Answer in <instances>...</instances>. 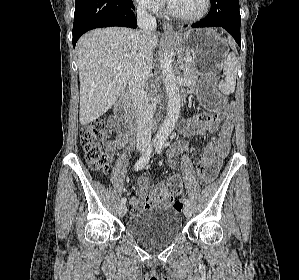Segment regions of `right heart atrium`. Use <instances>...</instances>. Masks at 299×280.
Masks as SVG:
<instances>
[{
    "label": "right heart atrium",
    "instance_id": "right-heart-atrium-1",
    "mask_svg": "<svg viewBox=\"0 0 299 280\" xmlns=\"http://www.w3.org/2000/svg\"><path fill=\"white\" fill-rule=\"evenodd\" d=\"M135 2L141 8L151 12H157L162 6V0H135Z\"/></svg>",
    "mask_w": 299,
    "mask_h": 280
}]
</instances>
